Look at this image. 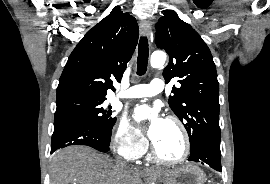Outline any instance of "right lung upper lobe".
Returning a JSON list of instances; mask_svg holds the SVG:
<instances>
[{
    "mask_svg": "<svg viewBox=\"0 0 270 184\" xmlns=\"http://www.w3.org/2000/svg\"><path fill=\"white\" fill-rule=\"evenodd\" d=\"M136 19L121 10L89 30L68 58L59 80L57 98L83 95L104 98L121 80L138 41Z\"/></svg>",
    "mask_w": 270,
    "mask_h": 184,
    "instance_id": "cb5924a9",
    "label": "right lung upper lobe"
}]
</instances>
